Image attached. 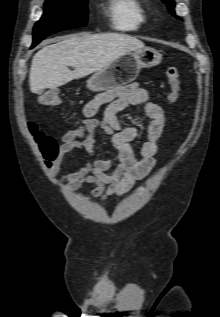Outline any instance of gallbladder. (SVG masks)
<instances>
[{
	"mask_svg": "<svg viewBox=\"0 0 220 317\" xmlns=\"http://www.w3.org/2000/svg\"><path fill=\"white\" fill-rule=\"evenodd\" d=\"M42 93V91H40L38 94H41Z\"/></svg>",
	"mask_w": 220,
	"mask_h": 317,
	"instance_id": "bac80fb5",
	"label": "gallbladder"
}]
</instances>
